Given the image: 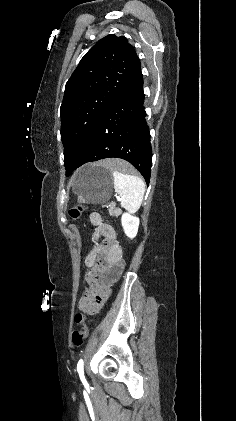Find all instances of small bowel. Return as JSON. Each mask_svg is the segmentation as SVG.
<instances>
[{
	"label": "small bowel",
	"mask_w": 236,
	"mask_h": 421,
	"mask_svg": "<svg viewBox=\"0 0 236 421\" xmlns=\"http://www.w3.org/2000/svg\"><path fill=\"white\" fill-rule=\"evenodd\" d=\"M91 224L95 227V236L96 237H104L106 239V243H111L114 246L118 247L116 242V233L112 226L106 224L102 221V217L99 213L93 212L89 216ZM95 251H92L90 255L87 257L88 262H92L93 256ZM85 300L81 302V307L85 305Z\"/></svg>",
	"instance_id": "obj_1"
}]
</instances>
